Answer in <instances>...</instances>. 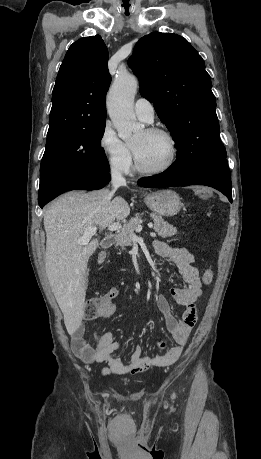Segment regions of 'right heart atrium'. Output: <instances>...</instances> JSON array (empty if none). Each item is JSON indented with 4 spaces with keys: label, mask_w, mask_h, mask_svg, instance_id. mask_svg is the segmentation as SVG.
Masks as SVG:
<instances>
[{
    "label": "right heart atrium",
    "mask_w": 261,
    "mask_h": 459,
    "mask_svg": "<svg viewBox=\"0 0 261 459\" xmlns=\"http://www.w3.org/2000/svg\"><path fill=\"white\" fill-rule=\"evenodd\" d=\"M100 150L114 173L127 174L132 170L133 158L129 147L118 137L110 123H105L99 135Z\"/></svg>",
    "instance_id": "d8ad5b80"
}]
</instances>
